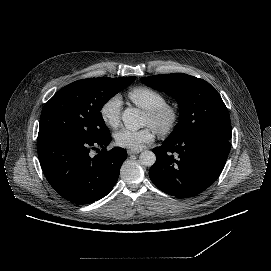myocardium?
I'll return each instance as SVG.
<instances>
[{
  "instance_id": "obj_1",
  "label": "myocardium",
  "mask_w": 271,
  "mask_h": 271,
  "mask_svg": "<svg viewBox=\"0 0 271 271\" xmlns=\"http://www.w3.org/2000/svg\"><path fill=\"white\" fill-rule=\"evenodd\" d=\"M150 125L160 134L170 132L177 123L178 111L171 104L164 103L147 111Z\"/></svg>"
}]
</instances>
